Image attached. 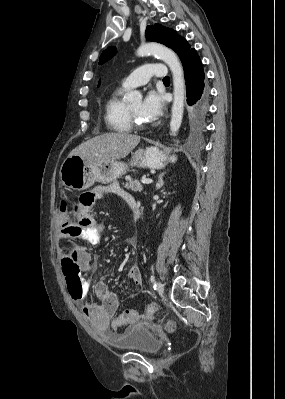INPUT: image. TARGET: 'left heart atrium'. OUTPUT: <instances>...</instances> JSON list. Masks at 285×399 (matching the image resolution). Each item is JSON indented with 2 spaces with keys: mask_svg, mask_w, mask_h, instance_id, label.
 I'll list each match as a JSON object with an SVG mask.
<instances>
[{
  "mask_svg": "<svg viewBox=\"0 0 285 399\" xmlns=\"http://www.w3.org/2000/svg\"><path fill=\"white\" fill-rule=\"evenodd\" d=\"M163 107L162 96L155 91H150L141 102L140 115L144 121H154L162 115Z\"/></svg>",
  "mask_w": 285,
  "mask_h": 399,
  "instance_id": "obj_1",
  "label": "left heart atrium"
}]
</instances>
